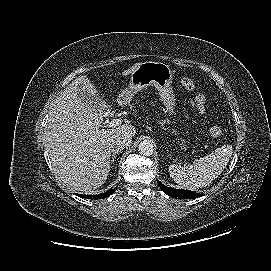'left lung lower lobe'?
<instances>
[{
	"instance_id": "0a47b994",
	"label": "left lung lower lobe",
	"mask_w": 271,
	"mask_h": 271,
	"mask_svg": "<svg viewBox=\"0 0 271 271\" xmlns=\"http://www.w3.org/2000/svg\"><path fill=\"white\" fill-rule=\"evenodd\" d=\"M157 183H158L159 187L161 188V190H163L164 193H166L167 195H169L173 198L193 199V198L201 197L203 195V194L195 193L193 191L169 188V187L163 185L160 181H157Z\"/></svg>"
}]
</instances>
